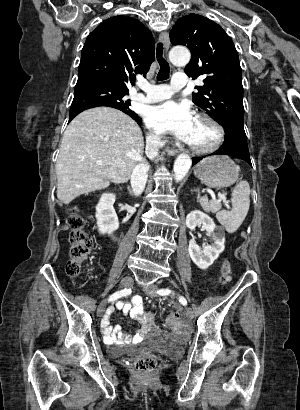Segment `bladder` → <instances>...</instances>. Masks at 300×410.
I'll use <instances>...</instances> for the list:
<instances>
[{"label": "bladder", "instance_id": "1", "mask_svg": "<svg viewBox=\"0 0 300 410\" xmlns=\"http://www.w3.org/2000/svg\"><path fill=\"white\" fill-rule=\"evenodd\" d=\"M183 343L179 342H161L153 346L154 349L167 353L171 356H178L183 353ZM126 351L125 346L110 345L107 352L109 355L116 356L121 352Z\"/></svg>", "mask_w": 300, "mask_h": 410}]
</instances>
